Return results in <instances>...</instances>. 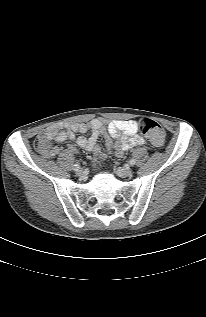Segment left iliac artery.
Segmentation results:
<instances>
[{"instance_id": "44dca946", "label": "left iliac artery", "mask_w": 206, "mask_h": 317, "mask_svg": "<svg viewBox=\"0 0 206 317\" xmlns=\"http://www.w3.org/2000/svg\"><path fill=\"white\" fill-rule=\"evenodd\" d=\"M135 162H136L135 159L132 158V159H130L129 164H130L131 166H133V165L135 164Z\"/></svg>"}]
</instances>
